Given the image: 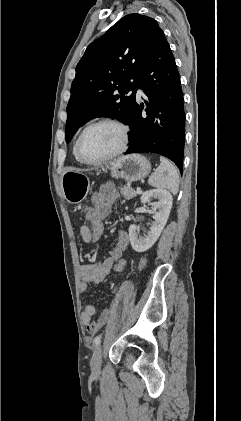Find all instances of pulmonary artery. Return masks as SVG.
I'll return each instance as SVG.
<instances>
[{
    "instance_id": "obj_1",
    "label": "pulmonary artery",
    "mask_w": 241,
    "mask_h": 421,
    "mask_svg": "<svg viewBox=\"0 0 241 421\" xmlns=\"http://www.w3.org/2000/svg\"><path fill=\"white\" fill-rule=\"evenodd\" d=\"M136 92L138 97H141L143 95V91L140 88H138Z\"/></svg>"
}]
</instances>
